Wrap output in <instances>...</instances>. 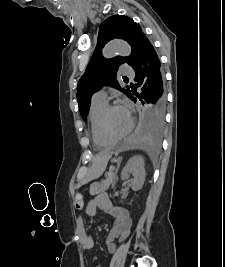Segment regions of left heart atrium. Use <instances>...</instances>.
<instances>
[{
  "mask_svg": "<svg viewBox=\"0 0 225 267\" xmlns=\"http://www.w3.org/2000/svg\"><path fill=\"white\" fill-rule=\"evenodd\" d=\"M121 109L125 112V114L130 118L129 109L127 105L121 107Z\"/></svg>",
  "mask_w": 225,
  "mask_h": 267,
  "instance_id": "1",
  "label": "left heart atrium"
}]
</instances>
